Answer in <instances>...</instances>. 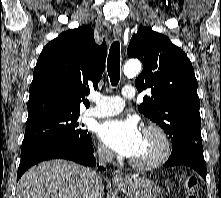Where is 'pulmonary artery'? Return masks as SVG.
Masks as SVG:
<instances>
[{
  "label": "pulmonary artery",
  "instance_id": "obj_1",
  "mask_svg": "<svg viewBox=\"0 0 221 198\" xmlns=\"http://www.w3.org/2000/svg\"><path fill=\"white\" fill-rule=\"evenodd\" d=\"M135 96V89L132 86H125L122 89V96H103L92 94L90 99L95 103L94 106L85 111V115L91 117H107L122 111L125 99H132Z\"/></svg>",
  "mask_w": 221,
  "mask_h": 198
}]
</instances>
